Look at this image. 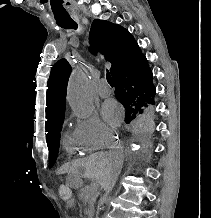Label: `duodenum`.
<instances>
[{"mask_svg":"<svg viewBox=\"0 0 211 218\" xmlns=\"http://www.w3.org/2000/svg\"><path fill=\"white\" fill-rule=\"evenodd\" d=\"M93 213H94L93 210H92V209H89V210H87L86 215H87L88 218H92Z\"/></svg>","mask_w":211,"mask_h":218,"instance_id":"obj_1","label":"duodenum"}]
</instances>
